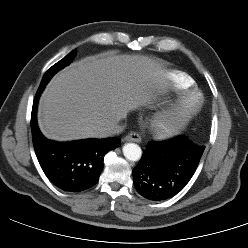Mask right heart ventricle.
<instances>
[{"instance_id": "1", "label": "right heart ventricle", "mask_w": 248, "mask_h": 248, "mask_svg": "<svg viewBox=\"0 0 248 248\" xmlns=\"http://www.w3.org/2000/svg\"><path fill=\"white\" fill-rule=\"evenodd\" d=\"M170 81L172 86L178 91H186L192 88L193 80L183 72H174L171 74Z\"/></svg>"}]
</instances>
